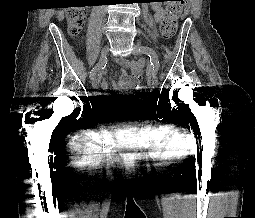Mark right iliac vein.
I'll list each match as a JSON object with an SVG mask.
<instances>
[{
    "mask_svg": "<svg viewBox=\"0 0 255 218\" xmlns=\"http://www.w3.org/2000/svg\"><path fill=\"white\" fill-rule=\"evenodd\" d=\"M107 53H108V46H105V47L101 50L99 62H98L97 65L95 66L97 71L100 69V67L102 66V64L105 62ZM97 71H96V73H97ZM96 73H95V75L91 78V83H92V86H93L94 88H96V87L99 85V78L97 77Z\"/></svg>",
    "mask_w": 255,
    "mask_h": 218,
    "instance_id": "1",
    "label": "right iliac vein"
}]
</instances>
